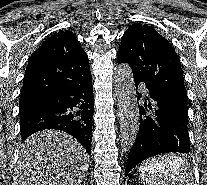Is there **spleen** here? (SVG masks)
<instances>
[{"label": "spleen", "instance_id": "spleen-1", "mask_svg": "<svg viewBox=\"0 0 207 185\" xmlns=\"http://www.w3.org/2000/svg\"><path fill=\"white\" fill-rule=\"evenodd\" d=\"M180 151L169 153H154V158H144L138 162L134 171L139 172L141 183L144 185H190L194 183L195 172L190 170L188 158H179Z\"/></svg>", "mask_w": 207, "mask_h": 185}]
</instances>
